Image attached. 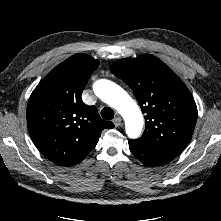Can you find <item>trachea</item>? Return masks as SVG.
<instances>
[{
	"mask_svg": "<svg viewBox=\"0 0 221 221\" xmlns=\"http://www.w3.org/2000/svg\"><path fill=\"white\" fill-rule=\"evenodd\" d=\"M101 116L105 120H111L114 117V111L110 107H104L101 110Z\"/></svg>",
	"mask_w": 221,
	"mask_h": 221,
	"instance_id": "1",
	"label": "trachea"
}]
</instances>
